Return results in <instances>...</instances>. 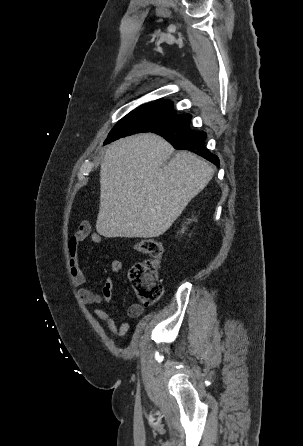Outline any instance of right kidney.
Returning a JSON list of instances; mask_svg holds the SVG:
<instances>
[{"label": "right kidney", "instance_id": "right-kidney-1", "mask_svg": "<svg viewBox=\"0 0 303 446\" xmlns=\"http://www.w3.org/2000/svg\"><path fill=\"white\" fill-rule=\"evenodd\" d=\"M184 229H185V228L182 229V231H181L182 233L184 232Z\"/></svg>", "mask_w": 303, "mask_h": 446}]
</instances>
